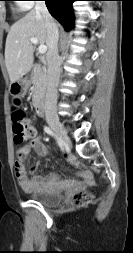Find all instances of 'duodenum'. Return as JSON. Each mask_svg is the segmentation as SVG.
<instances>
[{"mask_svg":"<svg viewBox=\"0 0 133 253\" xmlns=\"http://www.w3.org/2000/svg\"><path fill=\"white\" fill-rule=\"evenodd\" d=\"M22 78L24 81H26L28 79V74L27 73H22ZM38 93L42 92L41 88L37 89ZM35 109H36V113L38 116H43L45 114L46 111V104L45 101L43 99H37L35 102Z\"/></svg>","mask_w":133,"mask_h":253,"instance_id":"410a0bca","label":"duodenum"}]
</instances>
